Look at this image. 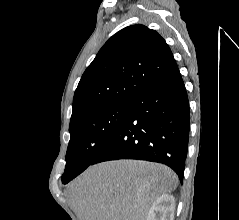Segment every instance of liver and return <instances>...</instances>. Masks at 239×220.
I'll list each match as a JSON object with an SVG mask.
<instances>
[{
    "instance_id": "1",
    "label": "liver",
    "mask_w": 239,
    "mask_h": 220,
    "mask_svg": "<svg viewBox=\"0 0 239 220\" xmlns=\"http://www.w3.org/2000/svg\"><path fill=\"white\" fill-rule=\"evenodd\" d=\"M178 184L167 166L116 160L89 167L69 185L79 220H146L154 201Z\"/></svg>"
}]
</instances>
